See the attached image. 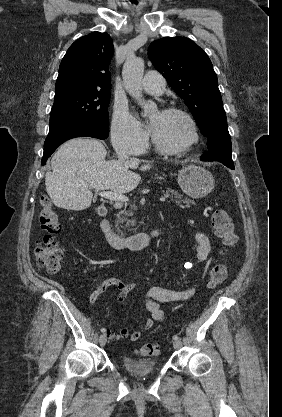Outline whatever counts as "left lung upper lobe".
Masks as SVG:
<instances>
[{
    "label": "left lung upper lobe",
    "mask_w": 282,
    "mask_h": 417,
    "mask_svg": "<svg viewBox=\"0 0 282 417\" xmlns=\"http://www.w3.org/2000/svg\"><path fill=\"white\" fill-rule=\"evenodd\" d=\"M148 56L184 99L204 136L226 121L217 75L203 49L186 37H165L150 44Z\"/></svg>",
    "instance_id": "5c2ea615"
}]
</instances>
